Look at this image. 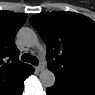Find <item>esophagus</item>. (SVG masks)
<instances>
[{
    "label": "esophagus",
    "instance_id": "1",
    "mask_svg": "<svg viewBox=\"0 0 95 95\" xmlns=\"http://www.w3.org/2000/svg\"><path fill=\"white\" fill-rule=\"evenodd\" d=\"M37 71H42L45 69V64L44 63H40L38 66H36L35 68Z\"/></svg>",
    "mask_w": 95,
    "mask_h": 95
}]
</instances>
